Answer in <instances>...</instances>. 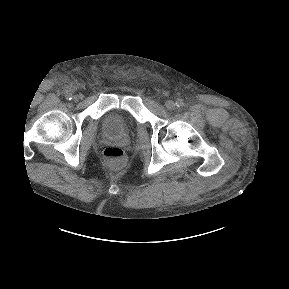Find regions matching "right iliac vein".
Masks as SVG:
<instances>
[{
    "label": "right iliac vein",
    "instance_id": "1",
    "mask_svg": "<svg viewBox=\"0 0 289 289\" xmlns=\"http://www.w3.org/2000/svg\"><path fill=\"white\" fill-rule=\"evenodd\" d=\"M80 98H81L80 95H75V96L73 97L74 101H78Z\"/></svg>",
    "mask_w": 289,
    "mask_h": 289
}]
</instances>
